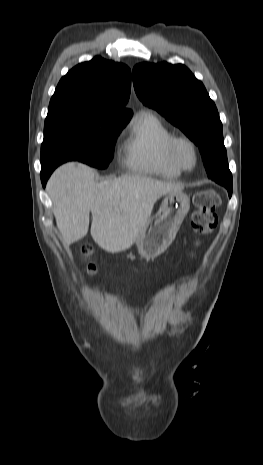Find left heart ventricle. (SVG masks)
<instances>
[{"instance_id":"b2bd125f","label":"left heart ventricle","mask_w":263,"mask_h":465,"mask_svg":"<svg viewBox=\"0 0 263 465\" xmlns=\"http://www.w3.org/2000/svg\"><path fill=\"white\" fill-rule=\"evenodd\" d=\"M178 155L181 161L187 165L190 166L193 163V153L191 148L186 145V144H181L178 147Z\"/></svg>"}]
</instances>
